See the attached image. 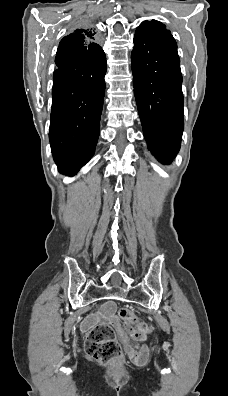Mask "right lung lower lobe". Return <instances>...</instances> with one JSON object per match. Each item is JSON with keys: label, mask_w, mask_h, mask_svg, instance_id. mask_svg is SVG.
Masks as SVG:
<instances>
[{"label": "right lung lower lobe", "mask_w": 228, "mask_h": 396, "mask_svg": "<svg viewBox=\"0 0 228 396\" xmlns=\"http://www.w3.org/2000/svg\"><path fill=\"white\" fill-rule=\"evenodd\" d=\"M60 45L53 74L49 140L60 173L73 176L95 152L107 69L103 49Z\"/></svg>", "instance_id": "obj_1"}]
</instances>
